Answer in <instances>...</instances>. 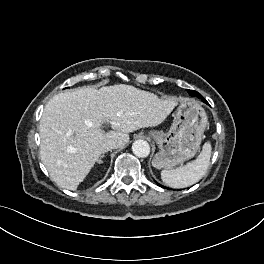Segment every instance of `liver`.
Returning <instances> with one entry per match:
<instances>
[{
    "instance_id": "liver-1",
    "label": "liver",
    "mask_w": 264,
    "mask_h": 264,
    "mask_svg": "<svg viewBox=\"0 0 264 264\" xmlns=\"http://www.w3.org/2000/svg\"><path fill=\"white\" fill-rule=\"evenodd\" d=\"M176 105L173 97L160 99L124 84L59 93L40 120L41 161L57 185L76 190L105 152L104 142L124 147L128 133L161 124ZM106 123L113 130L103 131Z\"/></svg>"
}]
</instances>
